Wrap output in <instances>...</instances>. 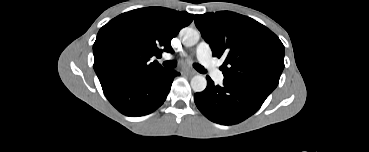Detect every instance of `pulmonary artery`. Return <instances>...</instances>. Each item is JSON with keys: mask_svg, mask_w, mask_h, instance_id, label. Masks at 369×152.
Here are the masks:
<instances>
[{"mask_svg": "<svg viewBox=\"0 0 369 152\" xmlns=\"http://www.w3.org/2000/svg\"><path fill=\"white\" fill-rule=\"evenodd\" d=\"M196 57L199 62L207 69L210 73L211 77L216 82H221L223 80L222 72L217 68L213 58L212 52L209 44L205 41H202L196 47Z\"/></svg>", "mask_w": 369, "mask_h": 152, "instance_id": "pulmonary-artery-1", "label": "pulmonary artery"}]
</instances>
